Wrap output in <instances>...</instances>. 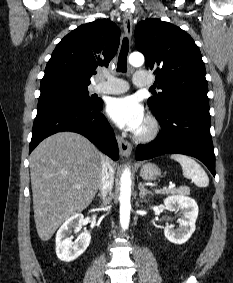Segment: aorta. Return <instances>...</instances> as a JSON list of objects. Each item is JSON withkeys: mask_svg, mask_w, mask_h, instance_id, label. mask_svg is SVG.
I'll list each match as a JSON object with an SVG mask.
<instances>
[{"mask_svg": "<svg viewBox=\"0 0 233 283\" xmlns=\"http://www.w3.org/2000/svg\"><path fill=\"white\" fill-rule=\"evenodd\" d=\"M129 63L134 67H139L144 63V56L141 53L134 52L129 56ZM131 210V172L126 168L120 180V224L121 227L128 229Z\"/></svg>", "mask_w": 233, "mask_h": 283, "instance_id": "1", "label": "aorta"}]
</instances>
